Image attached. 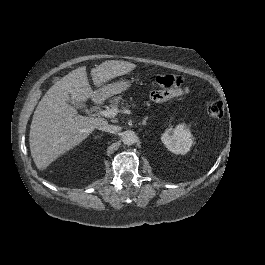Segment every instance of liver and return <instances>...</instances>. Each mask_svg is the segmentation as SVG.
Segmentation results:
<instances>
[{"label": "liver", "instance_id": "6515ba94", "mask_svg": "<svg viewBox=\"0 0 265 265\" xmlns=\"http://www.w3.org/2000/svg\"><path fill=\"white\" fill-rule=\"evenodd\" d=\"M135 67L128 61H106L91 69L95 84L123 75ZM85 67L75 69L52 85L38 103L30 127L29 143L31 155L42 170L59 154L80 143L91 131L106 123L104 118L78 114L67 102L68 93L78 100L90 96Z\"/></svg>", "mask_w": 265, "mask_h": 265}]
</instances>
